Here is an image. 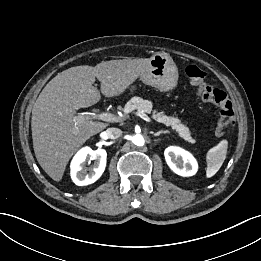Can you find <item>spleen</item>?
Returning <instances> with one entry per match:
<instances>
[{
  "label": "spleen",
  "mask_w": 261,
  "mask_h": 261,
  "mask_svg": "<svg viewBox=\"0 0 261 261\" xmlns=\"http://www.w3.org/2000/svg\"><path fill=\"white\" fill-rule=\"evenodd\" d=\"M228 148L227 140H222L215 147L211 148L207 153V168H206V177H213L221 168L223 162L226 159Z\"/></svg>",
  "instance_id": "1"
}]
</instances>
